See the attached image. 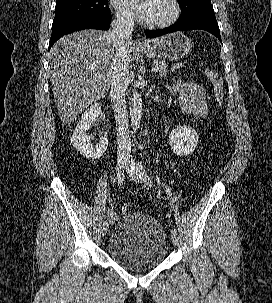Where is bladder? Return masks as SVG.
Instances as JSON below:
<instances>
[{"instance_id":"1","label":"bladder","mask_w":272,"mask_h":303,"mask_svg":"<svg viewBox=\"0 0 272 303\" xmlns=\"http://www.w3.org/2000/svg\"><path fill=\"white\" fill-rule=\"evenodd\" d=\"M107 253L117 264L131 271L156 268L168 254L166 231L151 215L127 213L116 222Z\"/></svg>"}]
</instances>
